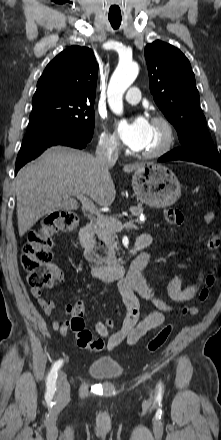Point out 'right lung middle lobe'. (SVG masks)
<instances>
[{"instance_id": "obj_1", "label": "right lung middle lobe", "mask_w": 221, "mask_h": 440, "mask_svg": "<svg viewBox=\"0 0 221 440\" xmlns=\"http://www.w3.org/2000/svg\"><path fill=\"white\" fill-rule=\"evenodd\" d=\"M95 113L87 103L40 102L33 104L27 134L56 131L91 139Z\"/></svg>"}]
</instances>
